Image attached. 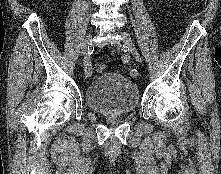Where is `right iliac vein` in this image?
<instances>
[{
  "mask_svg": "<svg viewBox=\"0 0 221 174\" xmlns=\"http://www.w3.org/2000/svg\"><path fill=\"white\" fill-rule=\"evenodd\" d=\"M92 45V35L89 34L86 39H85V42H84V45H83V55H84V60L87 58V51L89 50V48L91 47Z\"/></svg>",
  "mask_w": 221,
  "mask_h": 174,
  "instance_id": "obj_1",
  "label": "right iliac vein"
}]
</instances>
